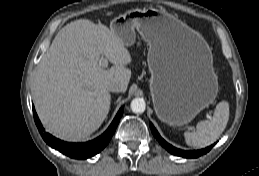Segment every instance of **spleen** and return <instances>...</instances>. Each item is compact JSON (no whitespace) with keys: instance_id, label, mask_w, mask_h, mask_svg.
Returning <instances> with one entry per match:
<instances>
[{"instance_id":"3e777b00","label":"spleen","mask_w":259,"mask_h":176,"mask_svg":"<svg viewBox=\"0 0 259 176\" xmlns=\"http://www.w3.org/2000/svg\"><path fill=\"white\" fill-rule=\"evenodd\" d=\"M229 120V103L219 102L212 118L198 122L196 130L185 132L187 145L193 148H205L213 144L223 133Z\"/></svg>"}]
</instances>
